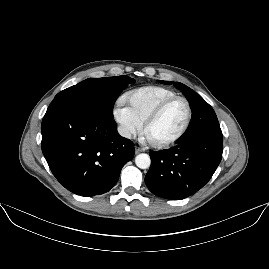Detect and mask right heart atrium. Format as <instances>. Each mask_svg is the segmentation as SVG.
I'll list each match as a JSON object with an SVG mask.
<instances>
[{
    "label": "right heart atrium",
    "instance_id": "d8ad5b80",
    "mask_svg": "<svg viewBox=\"0 0 269 269\" xmlns=\"http://www.w3.org/2000/svg\"><path fill=\"white\" fill-rule=\"evenodd\" d=\"M113 115L120 124L121 133L124 136L130 137L141 133L142 124L134 116L130 107L126 105L124 99L118 98L116 100Z\"/></svg>",
    "mask_w": 269,
    "mask_h": 269
}]
</instances>
